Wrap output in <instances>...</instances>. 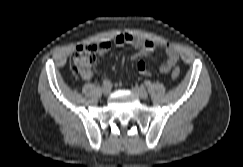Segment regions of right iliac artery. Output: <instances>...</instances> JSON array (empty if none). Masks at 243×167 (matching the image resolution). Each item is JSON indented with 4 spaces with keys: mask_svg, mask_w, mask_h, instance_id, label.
<instances>
[{
    "mask_svg": "<svg viewBox=\"0 0 243 167\" xmlns=\"http://www.w3.org/2000/svg\"><path fill=\"white\" fill-rule=\"evenodd\" d=\"M103 85H104V86H110V85H111L110 80L105 79V80L103 81Z\"/></svg>",
    "mask_w": 243,
    "mask_h": 167,
    "instance_id": "1",
    "label": "right iliac artery"
}]
</instances>
